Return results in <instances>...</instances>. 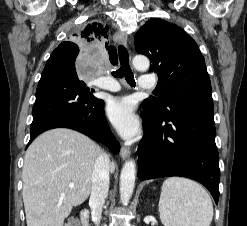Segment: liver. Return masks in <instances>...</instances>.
<instances>
[{
    "instance_id": "1",
    "label": "liver",
    "mask_w": 247,
    "mask_h": 226,
    "mask_svg": "<svg viewBox=\"0 0 247 226\" xmlns=\"http://www.w3.org/2000/svg\"><path fill=\"white\" fill-rule=\"evenodd\" d=\"M101 153L91 139L71 129H52L37 137L26 151L22 173L27 226H63L72 208L89 197Z\"/></svg>"
}]
</instances>
